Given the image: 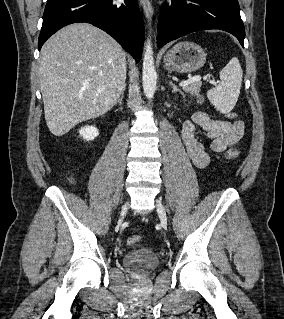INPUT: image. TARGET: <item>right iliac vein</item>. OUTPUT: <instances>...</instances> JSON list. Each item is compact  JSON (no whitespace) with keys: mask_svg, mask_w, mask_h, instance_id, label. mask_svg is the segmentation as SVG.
Returning a JSON list of instances; mask_svg holds the SVG:
<instances>
[{"mask_svg":"<svg viewBox=\"0 0 284 319\" xmlns=\"http://www.w3.org/2000/svg\"><path fill=\"white\" fill-rule=\"evenodd\" d=\"M128 202L123 206L122 210H121V220L124 218V216L126 215L127 211H128Z\"/></svg>","mask_w":284,"mask_h":319,"instance_id":"1","label":"right iliac vein"}]
</instances>
